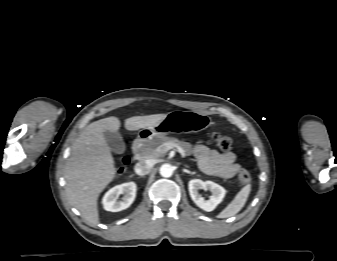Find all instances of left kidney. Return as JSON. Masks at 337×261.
I'll return each instance as SVG.
<instances>
[{
  "label": "left kidney",
  "instance_id": "5707ae66",
  "mask_svg": "<svg viewBox=\"0 0 337 261\" xmlns=\"http://www.w3.org/2000/svg\"><path fill=\"white\" fill-rule=\"evenodd\" d=\"M189 193L193 202L204 211H213L216 206L223 200L226 190L212 182L192 179L188 183ZM199 189L210 190L212 195L209 200H205L199 193Z\"/></svg>",
  "mask_w": 337,
  "mask_h": 261
}]
</instances>
